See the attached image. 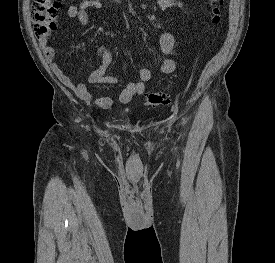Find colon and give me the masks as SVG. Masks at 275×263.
Listing matches in <instances>:
<instances>
[{
  "label": "colon",
  "mask_w": 275,
  "mask_h": 263,
  "mask_svg": "<svg viewBox=\"0 0 275 263\" xmlns=\"http://www.w3.org/2000/svg\"><path fill=\"white\" fill-rule=\"evenodd\" d=\"M223 0H209L208 14L212 26H217L222 21ZM62 5V0H34L32 6V28L37 39L46 37L56 29L57 13ZM170 101V95L165 91H154L145 96L146 104L160 106Z\"/></svg>",
  "instance_id": "colon-1"
}]
</instances>
